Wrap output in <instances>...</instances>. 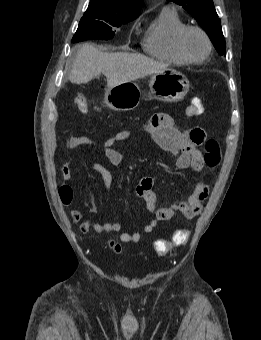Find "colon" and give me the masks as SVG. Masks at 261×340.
<instances>
[{
    "mask_svg": "<svg viewBox=\"0 0 261 340\" xmlns=\"http://www.w3.org/2000/svg\"><path fill=\"white\" fill-rule=\"evenodd\" d=\"M78 109L85 113L87 112V104L85 100L79 99L77 101ZM204 105L200 98H194L191 104L186 108L188 116H196L203 112ZM204 161L209 168H215L221 162V150L218 142L215 139H209L205 145ZM59 196L64 204H70L73 199V191L67 186L63 185L59 188ZM189 231L185 229H176L172 236L167 239H157L153 243L155 252L159 256H164L172 251L174 248L184 245L189 239ZM115 252H120V246L111 243Z\"/></svg>",
    "mask_w": 261,
    "mask_h": 340,
    "instance_id": "1",
    "label": "colon"
}]
</instances>
